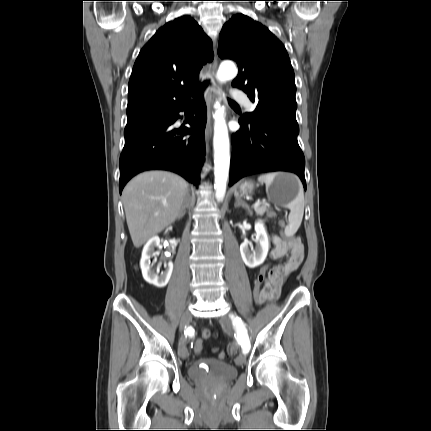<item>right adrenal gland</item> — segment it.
Here are the masks:
<instances>
[{
	"label": "right adrenal gland",
	"mask_w": 431,
	"mask_h": 431,
	"mask_svg": "<svg viewBox=\"0 0 431 431\" xmlns=\"http://www.w3.org/2000/svg\"><path fill=\"white\" fill-rule=\"evenodd\" d=\"M189 197H190V194H189V192H187V194L185 196V199H184V202L182 204V207H181V210H180V215H179L178 219L182 218L185 215L186 208L188 207V203L187 202H188Z\"/></svg>",
	"instance_id": "2a0ac1e0"
}]
</instances>
